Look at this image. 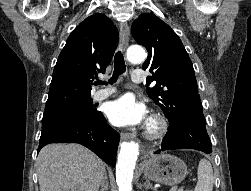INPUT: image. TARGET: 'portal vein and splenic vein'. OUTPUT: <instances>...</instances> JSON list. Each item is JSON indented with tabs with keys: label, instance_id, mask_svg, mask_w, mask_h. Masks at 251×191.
I'll return each mask as SVG.
<instances>
[{
	"label": "portal vein and splenic vein",
	"instance_id": "obj_1",
	"mask_svg": "<svg viewBox=\"0 0 251 191\" xmlns=\"http://www.w3.org/2000/svg\"><path fill=\"white\" fill-rule=\"evenodd\" d=\"M178 188L177 184H174L171 188L168 189V191H176Z\"/></svg>",
	"mask_w": 251,
	"mask_h": 191
}]
</instances>
